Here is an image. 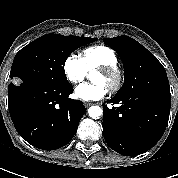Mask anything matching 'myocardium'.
<instances>
[{
    "instance_id": "1",
    "label": "myocardium",
    "mask_w": 178,
    "mask_h": 178,
    "mask_svg": "<svg viewBox=\"0 0 178 178\" xmlns=\"http://www.w3.org/2000/svg\"><path fill=\"white\" fill-rule=\"evenodd\" d=\"M97 72L103 73L111 80V85L109 87L111 92H116L122 85L123 73L117 67V65H105L96 68Z\"/></svg>"
}]
</instances>
